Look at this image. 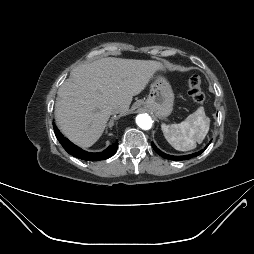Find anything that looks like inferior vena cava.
I'll return each instance as SVG.
<instances>
[{
  "label": "inferior vena cava",
  "instance_id": "obj_1",
  "mask_svg": "<svg viewBox=\"0 0 254 254\" xmlns=\"http://www.w3.org/2000/svg\"><path fill=\"white\" fill-rule=\"evenodd\" d=\"M120 111H121V108H120V107H114V108L112 109V114H118V113H120Z\"/></svg>",
  "mask_w": 254,
  "mask_h": 254
}]
</instances>
